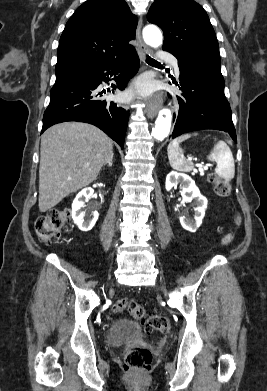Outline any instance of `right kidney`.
Here are the masks:
<instances>
[{
	"label": "right kidney",
	"instance_id": "obj_1",
	"mask_svg": "<svg viewBox=\"0 0 267 391\" xmlns=\"http://www.w3.org/2000/svg\"><path fill=\"white\" fill-rule=\"evenodd\" d=\"M93 192V189L90 187L84 188L77 194L76 198L72 203V218L74 220V223L79 227L81 231L84 232L91 230L99 217L98 212L93 211L91 215L86 220H84L85 211H83L82 208L93 195Z\"/></svg>",
	"mask_w": 267,
	"mask_h": 391
}]
</instances>
